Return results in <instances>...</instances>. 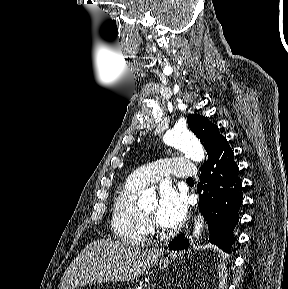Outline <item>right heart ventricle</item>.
Returning a JSON list of instances; mask_svg holds the SVG:
<instances>
[{
    "instance_id": "obj_1",
    "label": "right heart ventricle",
    "mask_w": 288,
    "mask_h": 289,
    "mask_svg": "<svg viewBox=\"0 0 288 289\" xmlns=\"http://www.w3.org/2000/svg\"><path fill=\"white\" fill-rule=\"evenodd\" d=\"M142 187L126 181L116 193L111 215V228L114 235L125 243L143 244L148 233L147 222L143 219L136 199Z\"/></svg>"
}]
</instances>
